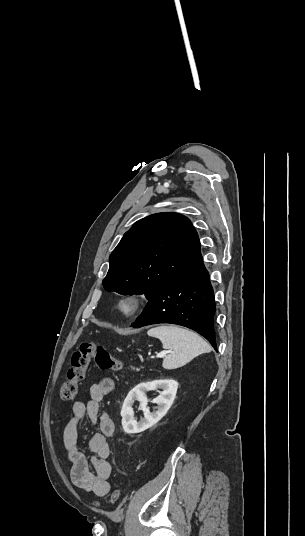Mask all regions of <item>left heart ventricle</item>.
<instances>
[{
	"label": "left heart ventricle",
	"mask_w": 305,
	"mask_h": 536,
	"mask_svg": "<svg viewBox=\"0 0 305 536\" xmlns=\"http://www.w3.org/2000/svg\"><path fill=\"white\" fill-rule=\"evenodd\" d=\"M132 307V304L129 302V301H125L123 304H122V308L124 310H129L130 308Z\"/></svg>",
	"instance_id": "1"
}]
</instances>
